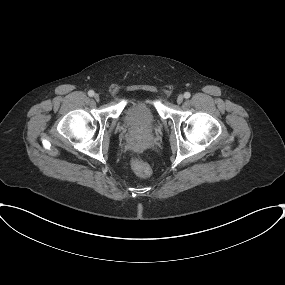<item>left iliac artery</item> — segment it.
<instances>
[{"mask_svg": "<svg viewBox=\"0 0 285 285\" xmlns=\"http://www.w3.org/2000/svg\"><path fill=\"white\" fill-rule=\"evenodd\" d=\"M190 96H191V94H190L189 92H185V93H184V97H185L186 99L190 98Z\"/></svg>", "mask_w": 285, "mask_h": 285, "instance_id": "left-iliac-artery-1", "label": "left iliac artery"}]
</instances>
